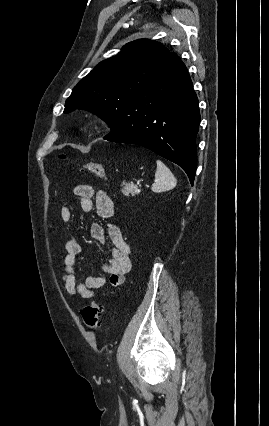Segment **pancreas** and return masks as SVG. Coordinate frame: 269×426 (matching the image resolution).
Segmentation results:
<instances>
[{
    "label": "pancreas",
    "instance_id": "1",
    "mask_svg": "<svg viewBox=\"0 0 269 426\" xmlns=\"http://www.w3.org/2000/svg\"><path fill=\"white\" fill-rule=\"evenodd\" d=\"M122 187V193L125 196H136L139 194L136 184L123 182Z\"/></svg>",
    "mask_w": 269,
    "mask_h": 426
}]
</instances>
